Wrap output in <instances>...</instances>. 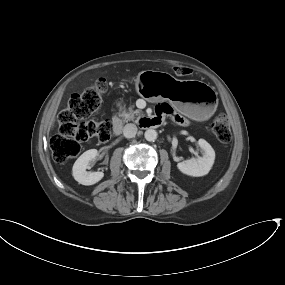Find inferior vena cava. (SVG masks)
Listing matches in <instances>:
<instances>
[{"label":"inferior vena cava","instance_id":"obj_1","mask_svg":"<svg viewBox=\"0 0 285 285\" xmlns=\"http://www.w3.org/2000/svg\"><path fill=\"white\" fill-rule=\"evenodd\" d=\"M137 133V127L135 124L129 123L126 124L123 128V135L126 138H133Z\"/></svg>","mask_w":285,"mask_h":285}]
</instances>
